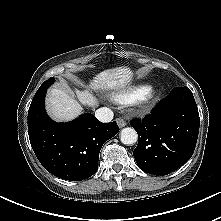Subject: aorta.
<instances>
[{
	"label": "aorta",
	"instance_id": "aorta-1",
	"mask_svg": "<svg viewBox=\"0 0 221 221\" xmlns=\"http://www.w3.org/2000/svg\"><path fill=\"white\" fill-rule=\"evenodd\" d=\"M138 134L131 127L123 128L120 132V140L125 145H132L137 142Z\"/></svg>",
	"mask_w": 221,
	"mask_h": 221
}]
</instances>
